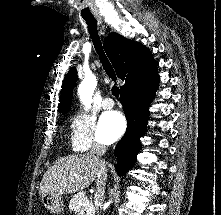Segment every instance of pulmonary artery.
<instances>
[{"label":"pulmonary artery","mask_w":221,"mask_h":215,"mask_svg":"<svg viewBox=\"0 0 221 215\" xmlns=\"http://www.w3.org/2000/svg\"><path fill=\"white\" fill-rule=\"evenodd\" d=\"M104 109H111L114 106V101L111 98H105L102 102Z\"/></svg>","instance_id":"pulmonary-artery-1"}]
</instances>
